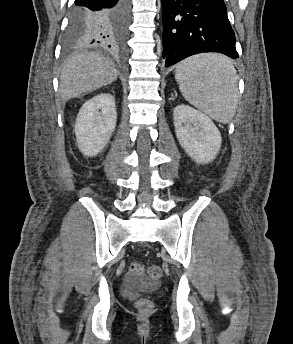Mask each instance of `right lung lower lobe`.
I'll use <instances>...</instances> for the list:
<instances>
[{
	"label": "right lung lower lobe",
	"instance_id": "obj_1",
	"mask_svg": "<svg viewBox=\"0 0 293 344\" xmlns=\"http://www.w3.org/2000/svg\"><path fill=\"white\" fill-rule=\"evenodd\" d=\"M130 0H75L74 11L89 17L85 44L121 50L127 35Z\"/></svg>",
	"mask_w": 293,
	"mask_h": 344
}]
</instances>
